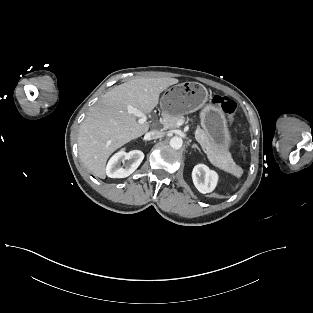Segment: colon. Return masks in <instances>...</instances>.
Masks as SVG:
<instances>
[{
    "label": "colon",
    "instance_id": "1",
    "mask_svg": "<svg viewBox=\"0 0 313 313\" xmlns=\"http://www.w3.org/2000/svg\"><path fill=\"white\" fill-rule=\"evenodd\" d=\"M212 103L218 106L226 116L228 122L232 123L237 109L236 102L227 96L215 95L212 99Z\"/></svg>",
    "mask_w": 313,
    "mask_h": 313
}]
</instances>
